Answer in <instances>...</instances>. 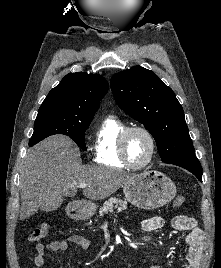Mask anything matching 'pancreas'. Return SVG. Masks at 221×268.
<instances>
[{
    "label": "pancreas",
    "instance_id": "pancreas-1",
    "mask_svg": "<svg viewBox=\"0 0 221 268\" xmlns=\"http://www.w3.org/2000/svg\"><path fill=\"white\" fill-rule=\"evenodd\" d=\"M117 208L118 211L127 209V202L117 198H110L100 208L99 216L102 217L105 213L112 212L113 207Z\"/></svg>",
    "mask_w": 221,
    "mask_h": 268
}]
</instances>
